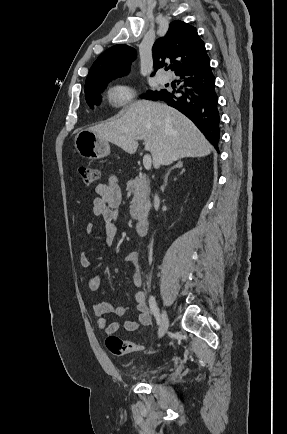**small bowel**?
<instances>
[{
  "instance_id": "1",
  "label": "small bowel",
  "mask_w": 287,
  "mask_h": 434,
  "mask_svg": "<svg viewBox=\"0 0 287 434\" xmlns=\"http://www.w3.org/2000/svg\"><path fill=\"white\" fill-rule=\"evenodd\" d=\"M97 197L92 203V214L96 217H101L104 220L103 228V244L106 247L112 245L118 236L119 228L117 225L119 204L121 200V192L115 176H110L107 183L98 184L95 188ZM95 227L92 223L86 226V233L92 235ZM125 263L131 264L134 267L132 282L136 288H141L143 285V276L139 266V255L137 252H128L124 257ZM81 268L89 269L92 263L88 256L82 253L79 257ZM82 281V277L80 276ZM103 277L101 274H93L88 279V288L97 290ZM136 309L138 312L137 320L128 319L124 322V329L127 332H135L140 325L148 326L151 324V315L146 302V295L142 290H138L135 294ZM91 310L98 318V326L103 329L106 334L116 333L120 327L119 322L105 318V315L123 316L128 307L117 305L114 302H96L91 303Z\"/></svg>"
}]
</instances>
